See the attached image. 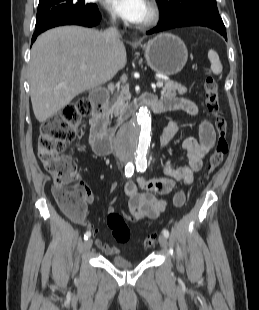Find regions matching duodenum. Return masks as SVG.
Here are the masks:
<instances>
[{
	"mask_svg": "<svg viewBox=\"0 0 259 310\" xmlns=\"http://www.w3.org/2000/svg\"><path fill=\"white\" fill-rule=\"evenodd\" d=\"M108 95L109 93L106 89H97L90 96L92 104L90 142L93 151L98 155H107L111 153L113 148L106 104ZM142 107H148L155 113L165 111L158 99L152 95H144L134 102L135 110H139Z\"/></svg>",
	"mask_w": 259,
	"mask_h": 310,
	"instance_id": "obj_1",
	"label": "duodenum"
}]
</instances>
